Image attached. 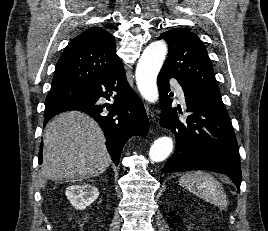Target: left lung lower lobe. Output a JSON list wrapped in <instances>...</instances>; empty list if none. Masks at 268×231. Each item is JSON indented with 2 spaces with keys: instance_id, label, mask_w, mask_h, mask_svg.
Returning a JSON list of instances; mask_svg holds the SVG:
<instances>
[{
  "instance_id": "obj_1",
  "label": "left lung lower lobe",
  "mask_w": 268,
  "mask_h": 231,
  "mask_svg": "<svg viewBox=\"0 0 268 231\" xmlns=\"http://www.w3.org/2000/svg\"><path fill=\"white\" fill-rule=\"evenodd\" d=\"M175 78L160 71L158 88L162 112L160 123L176 137V149L165 163L162 174L205 169L227 174L240 190V156L234 130L228 113L208 98L181 84L187 111L191 114L181 121L177 109L171 108L168 96L169 79Z\"/></svg>"
}]
</instances>
